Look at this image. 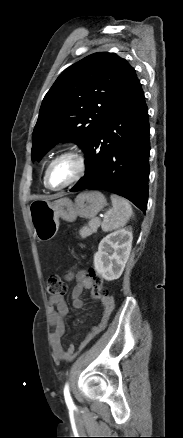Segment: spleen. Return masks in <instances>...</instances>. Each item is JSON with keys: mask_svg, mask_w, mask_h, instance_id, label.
<instances>
[{"mask_svg": "<svg viewBox=\"0 0 183 438\" xmlns=\"http://www.w3.org/2000/svg\"><path fill=\"white\" fill-rule=\"evenodd\" d=\"M110 198L112 201V208L104 215L102 222V229L104 232L123 227L133 216L132 207L127 200L114 194H112Z\"/></svg>", "mask_w": 183, "mask_h": 438, "instance_id": "1", "label": "spleen"}]
</instances>
